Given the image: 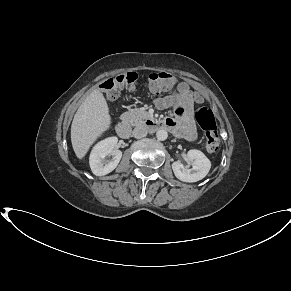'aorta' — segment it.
I'll list each match as a JSON object with an SVG mask.
<instances>
[{"label": "aorta", "mask_w": 291, "mask_h": 291, "mask_svg": "<svg viewBox=\"0 0 291 291\" xmlns=\"http://www.w3.org/2000/svg\"><path fill=\"white\" fill-rule=\"evenodd\" d=\"M156 137H157L158 140H160V141H164V140L167 139V137H168V133H167L166 130H164V129H160V130H158V131L156 132Z\"/></svg>", "instance_id": "obj_1"}]
</instances>
